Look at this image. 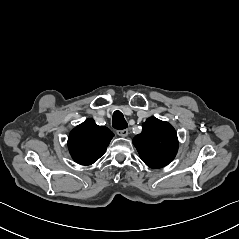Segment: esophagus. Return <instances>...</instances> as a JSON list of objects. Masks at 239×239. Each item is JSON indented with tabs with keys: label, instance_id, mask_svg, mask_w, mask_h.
I'll return each instance as SVG.
<instances>
[{
	"label": "esophagus",
	"instance_id": "34e87169",
	"mask_svg": "<svg viewBox=\"0 0 239 239\" xmlns=\"http://www.w3.org/2000/svg\"><path fill=\"white\" fill-rule=\"evenodd\" d=\"M117 134L121 137H126L129 133L127 129L117 130Z\"/></svg>",
	"mask_w": 239,
	"mask_h": 239
}]
</instances>
